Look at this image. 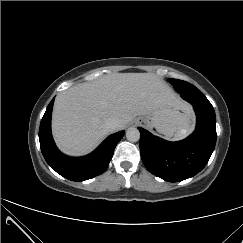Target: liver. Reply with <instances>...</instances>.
Segmentation results:
<instances>
[{"label": "liver", "mask_w": 243, "mask_h": 243, "mask_svg": "<svg viewBox=\"0 0 243 243\" xmlns=\"http://www.w3.org/2000/svg\"><path fill=\"white\" fill-rule=\"evenodd\" d=\"M189 110L173 90L153 73H114L60 92L55 100L52 130L58 147L70 155L93 150L111 132L109 118L123 129L134 117L160 107Z\"/></svg>", "instance_id": "6515ba94"}]
</instances>
